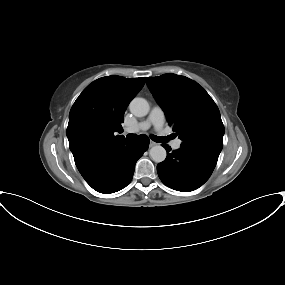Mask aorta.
I'll return each mask as SVG.
<instances>
[{"label":"aorta","mask_w":285,"mask_h":285,"mask_svg":"<svg viewBox=\"0 0 285 285\" xmlns=\"http://www.w3.org/2000/svg\"><path fill=\"white\" fill-rule=\"evenodd\" d=\"M129 109L136 117H144L148 114L150 107L147 100L136 97L130 102ZM149 155L154 162L160 163L166 159L167 153L164 147L156 145L150 149Z\"/></svg>","instance_id":"1"}]
</instances>
